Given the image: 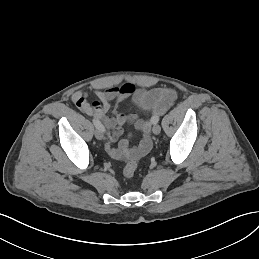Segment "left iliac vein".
<instances>
[{"mask_svg":"<svg viewBox=\"0 0 259 259\" xmlns=\"http://www.w3.org/2000/svg\"><path fill=\"white\" fill-rule=\"evenodd\" d=\"M152 131H153V133L154 134H159L160 132H161V127H160V125H158V124H155L154 126H153V128H152Z\"/></svg>","mask_w":259,"mask_h":259,"instance_id":"4c4485c4","label":"left iliac vein"}]
</instances>
